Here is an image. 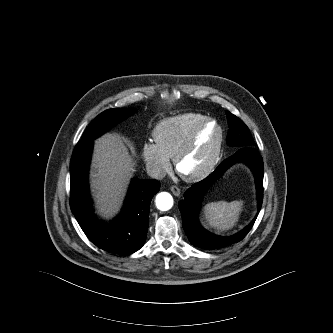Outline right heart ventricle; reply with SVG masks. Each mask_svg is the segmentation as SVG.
Instances as JSON below:
<instances>
[{"label": "right heart ventricle", "instance_id": "1", "mask_svg": "<svg viewBox=\"0 0 333 333\" xmlns=\"http://www.w3.org/2000/svg\"><path fill=\"white\" fill-rule=\"evenodd\" d=\"M207 118L200 113H184L160 121L152 132L155 145L169 159H174L193 130Z\"/></svg>", "mask_w": 333, "mask_h": 333}]
</instances>
